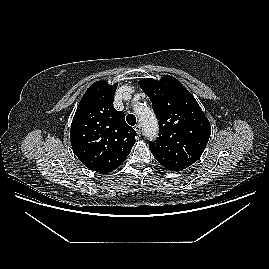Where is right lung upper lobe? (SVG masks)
<instances>
[{
    "label": "right lung upper lobe",
    "mask_w": 269,
    "mask_h": 269,
    "mask_svg": "<svg viewBox=\"0 0 269 269\" xmlns=\"http://www.w3.org/2000/svg\"><path fill=\"white\" fill-rule=\"evenodd\" d=\"M118 84H92L74 115L70 139L74 153L90 170L108 173L119 167L135 144V130L113 107Z\"/></svg>",
    "instance_id": "1"
}]
</instances>
